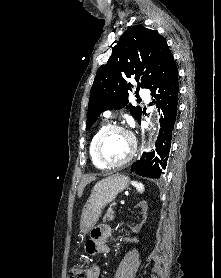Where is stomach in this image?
I'll return each mask as SVG.
<instances>
[{
	"label": "stomach",
	"mask_w": 221,
	"mask_h": 278,
	"mask_svg": "<svg viewBox=\"0 0 221 278\" xmlns=\"http://www.w3.org/2000/svg\"><path fill=\"white\" fill-rule=\"evenodd\" d=\"M129 179L120 174L111 175L93 187L91 194L85 203L80 220V232L85 236L98 222L102 210L111 203L117 195L126 190Z\"/></svg>",
	"instance_id": "1"
}]
</instances>
